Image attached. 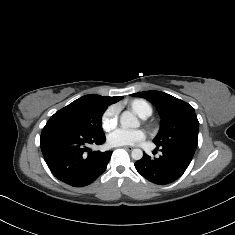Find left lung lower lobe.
I'll return each mask as SVG.
<instances>
[{
	"mask_svg": "<svg viewBox=\"0 0 235 235\" xmlns=\"http://www.w3.org/2000/svg\"><path fill=\"white\" fill-rule=\"evenodd\" d=\"M157 147H160L162 152L159 158H151L144 154L141 160L135 162V168L142 176L153 183L173 182L187 169L195 151L180 145Z\"/></svg>",
	"mask_w": 235,
	"mask_h": 235,
	"instance_id": "1",
	"label": "left lung lower lobe"
}]
</instances>
